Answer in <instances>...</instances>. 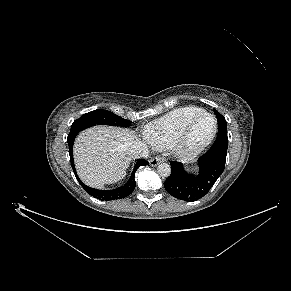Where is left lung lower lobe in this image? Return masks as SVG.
<instances>
[{"label":"left lung lower lobe","instance_id":"0a47b994","mask_svg":"<svg viewBox=\"0 0 291 291\" xmlns=\"http://www.w3.org/2000/svg\"><path fill=\"white\" fill-rule=\"evenodd\" d=\"M228 137L224 131H218L212 147L198 160L199 171L188 174L182 163L170 162L172 172L164 187L175 198L192 202L205 196L223 173L227 155Z\"/></svg>","mask_w":291,"mask_h":291}]
</instances>
